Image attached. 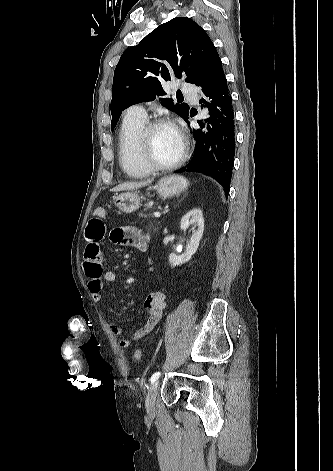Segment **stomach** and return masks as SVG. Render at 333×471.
Segmentation results:
<instances>
[{
  "label": "stomach",
  "instance_id": "0dacf381",
  "mask_svg": "<svg viewBox=\"0 0 333 471\" xmlns=\"http://www.w3.org/2000/svg\"><path fill=\"white\" fill-rule=\"evenodd\" d=\"M186 178L179 175H169L161 178L156 190L161 198H169L180 194L188 186ZM115 206L124 213H132L141 206V198L136 192H127L113 198Z\"/></svg>",
  "mask_w": 333,
  "mask_h": 471
}]
</instances>
